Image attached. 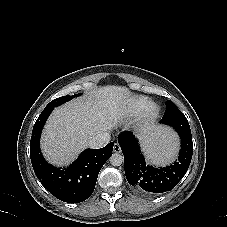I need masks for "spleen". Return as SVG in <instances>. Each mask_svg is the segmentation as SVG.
<instances>
[{"label": "spleen", "instance_id": "spleen-1", "mask_svg": "<svg viewBox=\"0 0 227 227\" xmlns=\"http://www.w3.org/2000/svg\"><path fill=\"white\" fill-rule=\"evenodd\" d=\"M139 138L140 155L151 165L164 166L175 162L182 151L178 133L164 124L151 121L144 124Z\"/></svg>", "mask_w": 227, "mask_h": 227}]
</instances>
